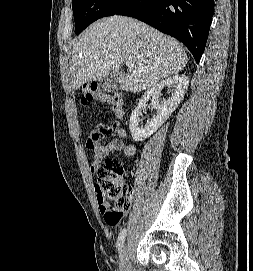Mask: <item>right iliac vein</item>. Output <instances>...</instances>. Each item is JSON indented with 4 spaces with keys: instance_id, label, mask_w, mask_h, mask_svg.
<instances>
[{
    "instance_id": "right-iliac-vein-1",
    "label": "right iliac vein",
    "mask_w": 253,
    "mask_h": 271,
    "mask_svg": "<svg viewBox=\"0 0 253 271\" xmlns=\"http://www.w3.org/2000/svg\"><path fill=\"white\" fill-rule=\"evenodd\" d=\"M121 271H130L129 257L127 246H123L120 253Z\"/></svg>"
}]
</instances>
